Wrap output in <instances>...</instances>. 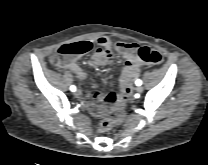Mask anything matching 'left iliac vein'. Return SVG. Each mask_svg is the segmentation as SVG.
<instances>
[{
	"instance_id": "1",
	"label": "left iliac vein",
	"mask_w": 208,
	"mask_h": 165,
	"mask_svg": "<svg viewBox=\"0 0 208 165\" xmlns=\"http://www.w3.org/2000/svg\"><path fill=\"white\" fill-rule=\"evenodd\" d=\"M136 91H137L138 93H142V92H143V87L138 86V87L136 88Z\"/></svg>"
}]
</instances>
